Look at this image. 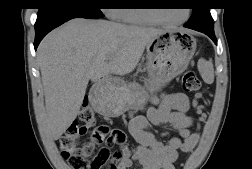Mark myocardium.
Instances as JSON below:
<instances>
[{"mask_svg": "<svg viewBox=\"0 0 252 169\" xmlns=\"http://www.w3.org/2000/svg\"><path fill=\"white\" fill-rule=\"evenodd\" d=\"M189 10H187V12L185 13L184 17L180 20H176V21H169V20H165V19H162V18H159L155 15H153L152 13H149L145 10H142L141 11V14L147 19L149 20L150 22H153V23H161V24H181L183 22H185L188 18H189Z\"/></svg>", "mask_w": 252, "mask_h": 169, "instance_id": "1", "label": "myocardium"}]
</instances>
